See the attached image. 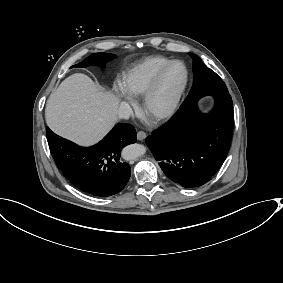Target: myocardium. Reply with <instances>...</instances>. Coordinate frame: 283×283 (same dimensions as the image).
<instances>
[{
	"label": "myocardium",
	"mask_w": 283,
	"mask_h": 283,
	"mask_svg": "<svg viewBox=\"0 0 283 283\" xmlns=\"http://www.w3.org/2000/svg\"><path fill=\"white\" fill-rule=\"evenodd\" d=\"M175 64H181L184 67L185 78H184L183 84L181 85L177 93L174 95V97L172 98L171 102L169 103L167 107L161 110H153L152 102L156 96L160 80L163 77V75L167 72V70ZM189 78H190L189 69L187 65L181 60H172L168 62L166 65H164L162 68H160L152 77L151 81L149 82L143 94L142 108H143L144 114L156 121L167 119L173 116L174 113L177 111L180 101L187 89Z\"/></svg>",
	"instance_id": "f54148a6"
}]
</instances>
